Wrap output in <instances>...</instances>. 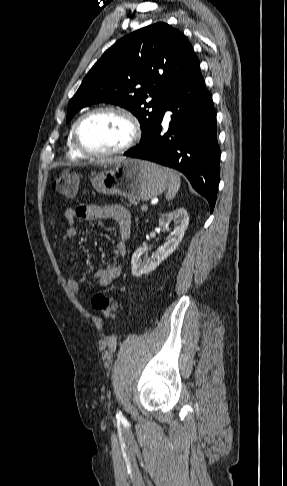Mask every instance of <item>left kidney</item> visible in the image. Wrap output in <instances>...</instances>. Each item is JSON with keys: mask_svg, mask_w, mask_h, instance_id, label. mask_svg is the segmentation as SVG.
Wrapping results in <instances>:
<instances>
[{"mask_svg": "<svg viewBox=\"0 0 287 486\" xmlns=\"http://www.w3.org/2000/svg\"><path fill=\"white\" fill-rule=\"evenodd\" d=\"M171 222H174L176 229L172 233V236L168 238L166 243L161 246L155 252V254H153L151 257H145L142 260L141 255L145 252V249L142 247L136 249L131 259L133 276L140 277L143 274L152 272L163 260H165L176 250L189 225V216L187 211L184 208H179L170 213H163L159 215V226H161L163 229L168 230Z\"/></svg>", "mask_w": 287, "mask_h": 486, "instance_id": "5707ae66", "label": "left kidney"}]
</instances>
